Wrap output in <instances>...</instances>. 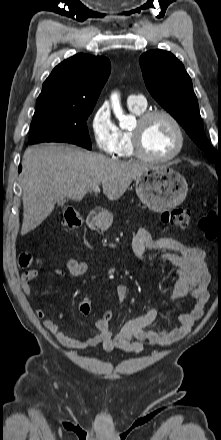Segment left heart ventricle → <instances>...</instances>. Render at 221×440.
<instances>
[{
    "mask_svg": "<svg viewBox=\"0 0 221 440\" xmlns=\"http://www.w3.org/2000/svg\"><path fill=\"white\" fill-rule=\"evenodd\" d=\"M133 130H139L145 151L156 157L167 156L177 145V134L172 123L163 116H156L142 127L138 123Z\"/></svg>",
    "mask_w": 221,
    "mask_h": 440,
    "instance_id": "b2bd125f",
    "label": "left heart ventricle"
}]
</instances>
